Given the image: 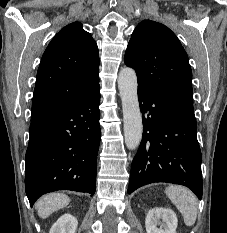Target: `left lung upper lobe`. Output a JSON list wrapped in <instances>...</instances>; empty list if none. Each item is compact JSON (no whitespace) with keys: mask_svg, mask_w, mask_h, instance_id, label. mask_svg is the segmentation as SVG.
Here are the masks:
<instances>
[{"mask_svg":"<svg viewBox=\"0 0 227 233\" xmlns=\"http://www.w3.org/2000/svg\"><path fill=\"white\" fill-rule=\"evenodd\" d=\"M125 64L135 69L138 89L194 111L188 56L168 27L151 20L142 21L132 33Z\"/></svg>","mask_w":227,"mask_h":233,"instance_id":"obj_1","label":"left lung upper lobe"}]
</instances>
